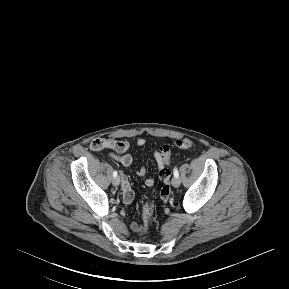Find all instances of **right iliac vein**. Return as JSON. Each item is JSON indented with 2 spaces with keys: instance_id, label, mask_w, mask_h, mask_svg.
I'll list each match as a JSON object with an SVG mask.
<instances>
[{
  "instance_id": "right-iliac-vein-1",
  "label": "right iliac vein",
  "mask_w": 289,
  "mask_h": 289,
  "mask_svg": "<svg viewBox=\"0 0 289 289\" xmlns=\"http://www.w3.org/2000/svg\"><path fill=\"white\" fill-rule=\"evenodd\" d=\"M112 184H113L114 186H119V184H120V178H119V177H114V178L112 179Z\"/></svg>"
}]
</instances>
